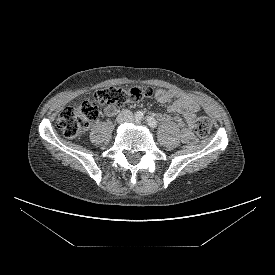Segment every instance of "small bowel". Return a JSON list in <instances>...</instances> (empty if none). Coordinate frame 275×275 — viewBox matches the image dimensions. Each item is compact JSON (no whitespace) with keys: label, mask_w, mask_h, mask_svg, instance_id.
<instances>
[{"label":"small bowel","mask_w":275,"mask_h":275,"mask_svg":"<svg viewBox=\"0 0 275 275\" xmlns=\"http://www.w3.org/2000/svg\"><path fill=\"white\" fill-rule=\"evenodd\" d=\"M155 98L159 103L166 104L168 112L176 115L175 119L181 127V139L186 144L196 142V136L193 132L195 125V113L199 110V105L190 96L176 90L160 89L156 92ZM117 107L108 104L104 108L107 116H114Z\"/></svg>","instance_id":"c3829d8e"}]
</instances>
